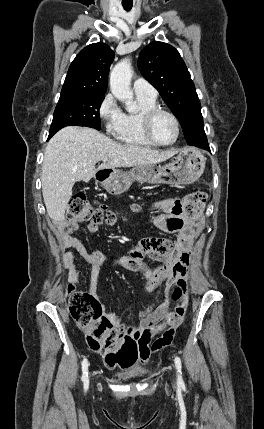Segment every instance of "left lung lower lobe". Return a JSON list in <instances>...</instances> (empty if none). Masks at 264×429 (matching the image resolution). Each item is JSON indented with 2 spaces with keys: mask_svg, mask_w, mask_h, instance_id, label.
<instances>
[{
  "mask_svg": "<svg viewBox=\"0 0 264 429\" xmlns=\"http://www.w3.org/2000/svg\"><path fill=\"white\" fill-rule=\"evenodd\" d=\"M200 148H203V149H206V150H210L209 145H200Z\"/></svg>",
  "mask_w": 264,
  "mask_h": 429,
  "instance_id": "left-lung-lower-lobe-1",
  "label": "left lung lower lobe"
}]
</instances>
